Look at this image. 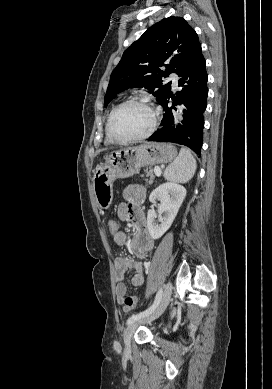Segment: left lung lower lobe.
Here are the masks:
<instances>
[{"label": "left lung lower lobe", "mask_w": 272, "mask_h": 389, "mask_svg": "<svg viewBox=\"0 0 272 389\" xmlns=\"http://www.w3.org/2000/svg\"><path fill=\"white\" fill-rule=\"evenodd\" d=\"M179 86L182 91L177 93L178 102H183L187 108L184 110V119L176 129H173L174 105L177 101L168 93L161 103L165 114L162 119V128L152 134L148 141L173 142L188 146L200 155L202 147V132L204 127L203 113L207 105V80L206 62L202 55L201 46L193 54L185 68L178 74ZM169 98L174 100L172 107H168Z\"/></svg>", "instance_id": "0a47b994"}]
</instances>
